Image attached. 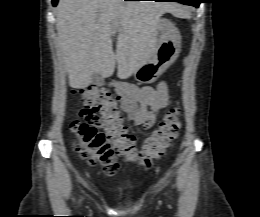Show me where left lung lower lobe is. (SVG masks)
Returning a JSON list of instances; mask_svg holds the SVG:
<instances>
[{"mask_svg": "<svg viewBox=\"0 0 260 217\" xmlns=\"http://www.w3.org/2000/svg\"><path fill=\"white\" fill-rule=\"evenodd\" d=\"M155 1H170V2H180L186 5H191L194 7H199V4L201 3L200 0H155Z\"/></svg>", "mask_w": 260, "mask_h": 217, "instance_id": "0a47b994", "label": "left lung lower lobe"}]
</instances>
